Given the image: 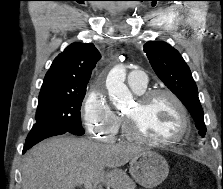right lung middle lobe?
<instances>
[{"instance_id":"right-lung-middle-lobe-1","label":"right lung middle lobe","mask_w":223,"mask_h":189,"mask_svg":"<svg viewBox=\"0 0 223 189\" xmlns=\"http://www.w3.org/2000/svg\"><path fill=\"white\" fill-rule=\"evenodd\" d=\"M86 88L69 92L39 94L36 122L32 129L59 128L74 135H83L80 109Z\"/></svg>"}]
</instances>
